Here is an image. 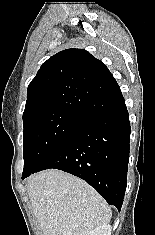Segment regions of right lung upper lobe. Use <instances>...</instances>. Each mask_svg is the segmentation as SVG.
Returning <instances> with one entry per match:
<instances>
[{
	"label": "right lung upper lobe",
	"instance_id": "cb5924a9",
	"mask_svg": "<svg viewBox=\"0 0 155 235\" xmlns=\"http://www.w3.org/2000/svg\"><path fill=\"white\" fill-rule=\"evenodd\" d=\"M104 63L83 49H67L50 57L30 82L23 115L46 107L67 109L90 121L94 116L85 91L113 80Z\"/></svg>",
	"mask_w": 155,
	"mask_h": 235
}]
</instances>
